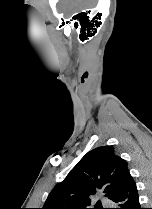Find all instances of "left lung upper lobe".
Wrapping results in <instances>:
<instances>
[{
    "label": "left lung upper lobe",
    "mask_w": 152,
    "mask_h": 209,
    "mask_svg": "<svg viewBox=\"0 0 152 209\" xmlns=\"http://www.w3.org/2000/svg\"><path fill=\"white\" fill-rule=\"evenodd\" d=\"M127 162L112 146L97 147L76 164L67 177L49 194L42 209H88L98 192L112 200L130 177ZM97 203L96 208H100Z\"/></svg>",
    "instance_id": "obj_1"
}]
</instances>
